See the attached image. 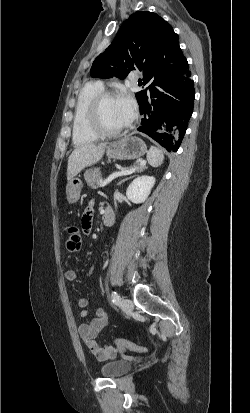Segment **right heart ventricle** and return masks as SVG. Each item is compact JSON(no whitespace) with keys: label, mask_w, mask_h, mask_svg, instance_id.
Instances as JSON below:
<instances>
[{"label":"right heart ventricle","mask_w":250,"mask_h":413,"mask_svg":"<svg viewBox=\"0 0 250 413\" xmlns=\"http://www.w3.org/2000/svg\"><path fill=\"white\" fill-rule=\"evenodd\" d=\"M102 90L98 83H88L77 96L72 128V139L77 146L93 143L99 138L89 126L88 108L93 97Z\"/></svg>","instance_id":"1"}]
</instances>
